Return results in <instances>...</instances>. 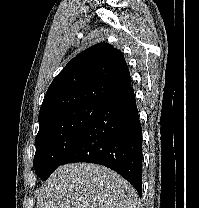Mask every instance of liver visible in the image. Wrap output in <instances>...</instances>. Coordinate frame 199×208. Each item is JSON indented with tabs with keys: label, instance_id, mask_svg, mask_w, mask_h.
<instances>
[{
	"label": "liver",
	"instance_id": "6515ba94",
	"mask_svg": "<svg viewBox=\"0 0 199 208\" xmlns=\"http://www.w3.org/2000/svg\"><path fill=\"white\" fill-rule=\"evenodd\" d=\"M36 208H139L136 190L93 163L59 166L38 191Z\"/></svg>",
	"mask_w": 199,
	"mask_h": 208
}]
</instances>
